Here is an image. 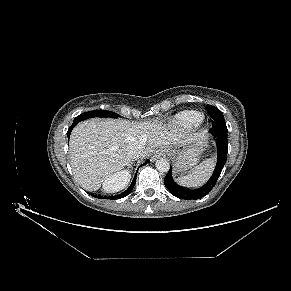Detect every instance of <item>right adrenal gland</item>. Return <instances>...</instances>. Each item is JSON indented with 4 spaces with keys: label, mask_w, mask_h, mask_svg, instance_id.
Segmentation results:
<instances>
[{
    "label": "right adrenal gland",
    "mask_w": 291,
    "mask_h": 291,
    "mask_svg": "<svg viewBox=\"0 0 291 291\" xmlns=\"http://www.w3.org/2000/svg\"><path fill=\"white\" fill-rule=\"evenodd\" d=\"M132 162H129V164H128V168H131L132 167Z\"/></svg>",
    "instance_id": "obj_1"
}]
</instances>
